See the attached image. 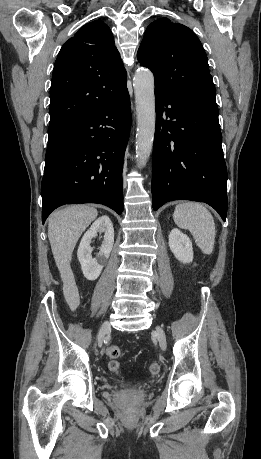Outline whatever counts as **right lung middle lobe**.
<instances>
[{
    "mask_svg": "<svg viewBox=\"0 0 261 459\" xmlns=\"http://www.w3.org/2000/svg\"><path fill=\"white\" fill-rule=\"evenodd\" d=\"M73 124L64 123V124H57L53 126H49L48 128V143L56 140L61 135H63L69 128L72 127Z\"/></svg>",
    "mask_w": 261,
    "mask_h": 459,
    "instance_id": "1",
    "label": "right lung middle lobe"
}]
</instances>
